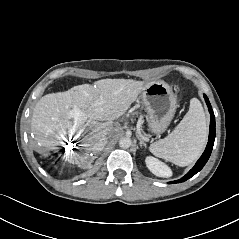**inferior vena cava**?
Returning a JSON list of instances; mask_svg holds the SVG:
<instances>
[{
    "label": "inferior vena cava",
    "mask_w": 239,
    "mask_h": 239,
    "mask_svg": "<svg viewBox=\"0 0 239 239\" xmlns=\"http://www.w3.org/2000/svg\"><path fill=\"white\" fill-rule=\"evenodd\" d=\"M108 140L106 137H101L99 140L95 143L94 149L99 152L102 151L107 144Z\"/></svg>",
    "instance_id": "obj_1"
}]
</instances>
